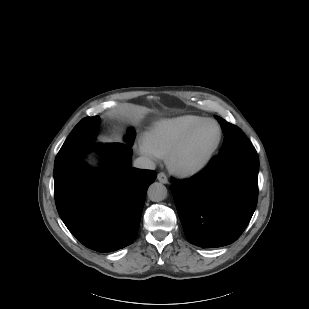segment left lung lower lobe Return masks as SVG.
Returning a JSON list of instances; mask_svg holds the SVG:
<instances>
[{
    "instance_id": "left-lung-lower-lobe-1",
    "label": "left lung lower lobe",
    "mask_w": 309,
    "mask_h": 309,
    "mask_svg": "<svg viewBox=\"0 0 309 309\" xmlns=\"http://www.w3.org/2000/svg\"><path fill=\"white\" fill-rule=\"evenodd\" d=\"M258 155L253 146L219 154L196 177L172 181L187 240L200 247L236 241L250 222L258 197Z\"/></svg>"
}]
</instances>
